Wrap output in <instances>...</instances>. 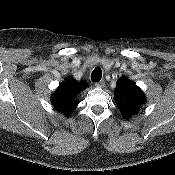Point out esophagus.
I'll list each match as a JSON object with an SVG mask.
<instances>
[{
    "mask_svg": "<svg viewBox=\"0 0 175 175\" xmlns=\"http://www.w3.org/2000/svg\"><path fill=\"white\" fill-rule=\"evenodd\" d=\"M104 85H105L104 80H101V81L95 83V86L98 88H102V87H104Z\"/></svg>",
    "mask_w": 175,
    "mask_h": 175,
    "instance_id": "esophagus-1",
    "label": "esophagus"
}]
</instances>
